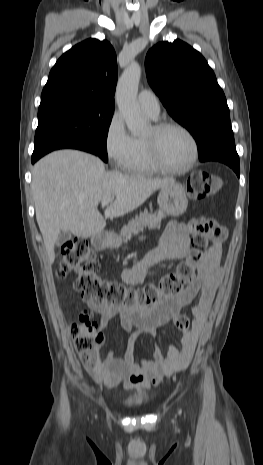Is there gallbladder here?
<instances>
[{"label":"gallbladder","instance_id":"gallbladder-1","mask_svg":"<svg viewBox=\"0 0 263 465\" xmlns=\"http://www.w3.org/2000/svg\"><path fill=\"white\" fill-rule=\"evenodd\" d=\"M71 232H61L56 240L57 247L62 246L65 242L71 239Z\"/></svg>","mask_w":263,"mask_h":465}]
</instances>
